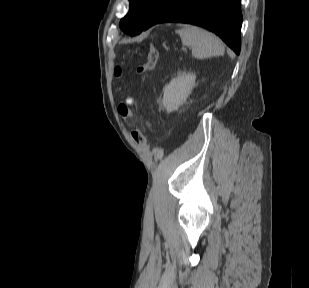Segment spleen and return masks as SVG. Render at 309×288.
Listing matches in <instances>:
<instances>
[{
	"label": "spleen",
	"mask_w": 309,
	"mask_h": 288,
	"mask_svg": "<svg viewBox=\"0 0 309 288\" xmlns=\"http://www.w3.org/2000/svg\"><path fill=\"white\" fill-rule=\"evenodd\" d=\"M183 45L192 47V55L197 59L219 57L224 54L222 41L214 34L196 26H186L177 30Z\"/></svg>",
	"instance_id": "1"
}]
</instances>
